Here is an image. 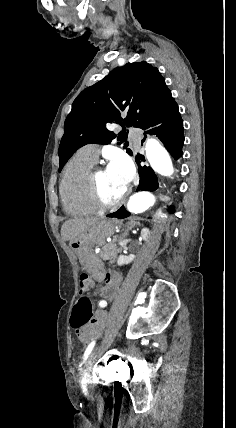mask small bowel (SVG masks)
I'll return each mask as SVG.
<instances>
[{
    "instance_id": "small-bowel-1",
    "label": "small bowel",
    "mask_w": 236,
    "mask_h": 428,
    "mask_svg": "<svg viewBox=\"0 0 236 428\" xmlns=\"http://www.w3.org/2000/svg\"><path fill=\"white\" fill-rule=\"evenodd\" d=\"M121 275L116 272H109L105 278V285L101 290L102 299L98 302L99 310L96 313V320L93 324L87 326L77 333V336L83 343H88L93 337L97 336L106 321L105 307L108 302L117 295L121 284Z\"/></svg>"
}]
</instances>
